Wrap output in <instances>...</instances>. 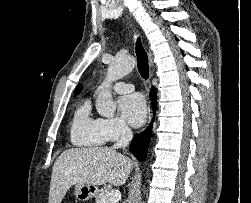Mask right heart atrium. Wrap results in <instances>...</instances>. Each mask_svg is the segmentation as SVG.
I'll use <instances>...</instances> for the list:
<instances>
[{
    "label": "right heart atrium",
    "mask_w": 251,
    "mask_h": 203,
    "mask_svg": "<svg viewBox=\"0 0 251 203\" xmlns=\"http://www.w3.org/2000/svg\"><path fill=\"white\" fill-rule=\"evenodd\" d=\"M99 128L106 141H115L129 133V128L121 118L98 119Z\"/></svg>",
    "instance_id": "right-heart-atrium-1"
}]
</instances>
